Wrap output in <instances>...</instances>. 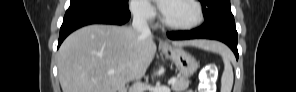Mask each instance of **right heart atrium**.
<instances>
[{
  "label": "right heart atrium",
  "instance_id": "1",
  "mask_svg": "<svg viewBox=\"0 0 296 92\" xmlns=\"http://www.w3.org/2000/svg\"><path fill=\"white\" fill-rule=\"evenodd\" d=\"M130 9L133 15L141 21L150 22L156 17V10L149 1H131Z\"/></svg>",
  "mask_w": 296,
  "mask_h": 92
}]
</instances>
